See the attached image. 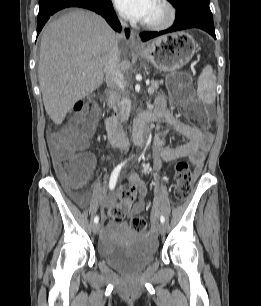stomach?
<instances>
[{"mask_svg":"<svg viewBox=\"0 0 261 306\" xmlns=\"http://www.w3.org/2000/svg\"><path fill=\"white\" fill-rule=\"evenodd\" d=\"M196 49L194 39L182 31L157 37L136 53L160 72H173L186 65Z\"/></svg>","mask_w":261,"mask_h":306,"instance_id":"obj_1","label":"stomach"}]
</instances>
